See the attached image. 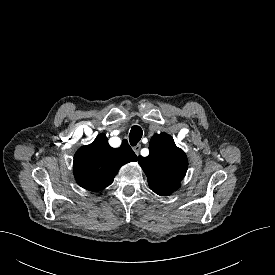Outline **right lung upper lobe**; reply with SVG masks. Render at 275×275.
I'll use <instances>...</instances> for the list:
<instances>
[{"label": "right lung upper lobe", "instance_id": "obj_1", "mask_svg": "<svg viewBox=\"0 0 275 275\" xmlns=\"http://www.w3.org/2000/svg\"><path fill=\"white\" fill-rule=\"evenodd\" d=\"M132 161H137V156L126 140L119 148H112L106 135L100 134L91 144L76 152L74 176L81 187L89 191H100L113 182L122 165Z\"/></svg>", "mask_w": 275, "mask_h": 275}]
</instances>
